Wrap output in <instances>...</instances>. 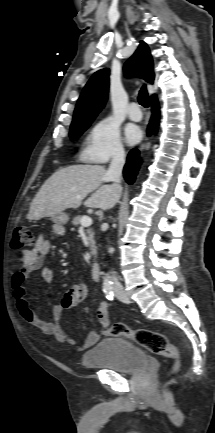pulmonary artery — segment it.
<instances>
[{
  "label": "pulmonary artery",
  "instance_id": "e3ab8cb5",
  "mask_svg": "<svg viewBox=\"0 0 215 433\" xmlns=\"http://www.w3.org/2000/svg\"><path fill=\"white\" fill-rule=\"evenodd\" d=\"M128 116L134 121H139L142 118V112L138 103L132 102L128 108Z\"/></svg>",
  "mask_w": 215,
  "mask_h": 433
}]
</instances>
